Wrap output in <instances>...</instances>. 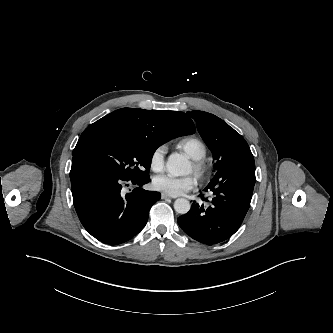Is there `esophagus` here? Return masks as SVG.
<instances>
[{"label": "esophagus", "mask_w": 333, "mask_h": 333, "mask_svg": "<svg viewBox=\"0 0 333 333\" xmlns=\"http://www.w3.org/2000/svg\"><path fill=\"white\" fill-rule=\"evenodd\" d=\"M161 199L169 200V199H172V197L169 196V195H166V194L162 193V194H161Z\"/></svg>", "instance_id": "34e87169"}]
</instances>
